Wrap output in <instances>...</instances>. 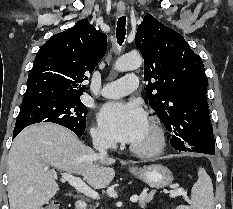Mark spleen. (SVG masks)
Masks as SVG:
<instances>
[{
	"label": "spleen",
	"instance_id": "spleen-1",
	"mask_svg": "<svg viewBox=\"0 0 233 209\" xmlns=\"http://www.w3.org/2000/svg\"><path fill=\"white\" fill-rule=\"evenodd\" d=\"M214 193L210 176L204 168L198 169V180L191 191L190 205H180L177 209H214Z\"/></svg>",
	"mask_w": 233,
	"mask_h": 209
}]
</instances>
